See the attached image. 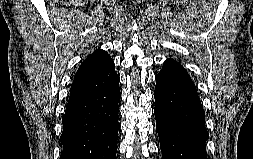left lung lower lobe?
Listing matches in <instances>:
<instances>
[{
	"instance_id": "obj_1",
	"label": "left lung lower lobe",
	"mask_w": 253,
	"mask_h": 159,
	"mask_svg": "<svg viewBox=\"0 0 253 159\" xmlns=\"http://www.w3.org/2000/svg\"><path fill=\"white\" fill-rule=\"evenodd\" d=\"M154 98L162 159H206L205 113L193 81L177 61L164 62Z\"/></svg>"
}]
</instances>
